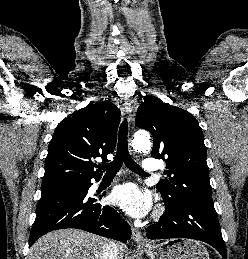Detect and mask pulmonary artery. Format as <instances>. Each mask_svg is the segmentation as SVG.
Here are the masks:
<instances>
[{"mask_svg":"<svg viewBox=\"0 0 248 259\" xmlns=\"http://www.w3.org/2000/svg\"><path fill=\"white\" fill-rule=\"evenodd\" d=\"M142 170L145 173H155L159 170V165L156 159L146 158L142 164Z\"/></svg>","mask_w":248,"mask_h":259,"instance_id":"obj_1","label":"pulmonary artery"}]
</instances>
